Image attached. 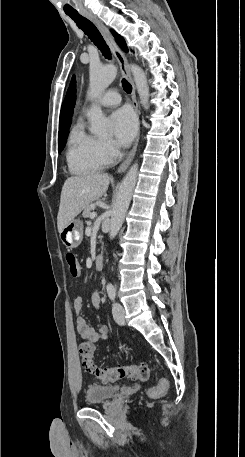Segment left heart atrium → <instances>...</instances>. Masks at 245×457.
Wrapping results in <instances>:
<instances>
[{"instance_id":"39dd6f15","label":"left heart atrium","mask_w":245,"mask_h":457,"mask_svg":"<svg viewBox=\"0 0 245 457\" xmlns=\"http://www.w3.org/2000/svg\"><path fill=\"white\" fill-rule=\"evenodd\" d=\"M111 122L118 144H129L137 129L134 113L128 108H120L111 115Z\"/></svg>"}]
</instances>
